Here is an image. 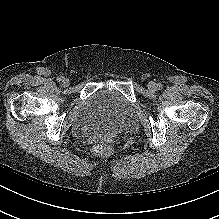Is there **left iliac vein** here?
<instances>
[{"label":"left iliac vein","instance_id":"1","mask_svg":"<svg viewBox=\"0 0 219 219\" xmlns=\"http://www.w3.org/2000/svg\"><path fill=\"white\" fill-rule=\"evenodd\" d=\"M148 89L150 91H155L157 89V84L155 82H153V81L149 82L148 83Z\"/></svg>","mask_w":219,"mask_h":219}]
</instances>
